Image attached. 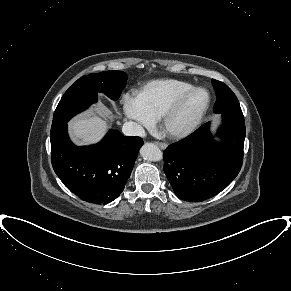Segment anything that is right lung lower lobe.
Instances as JSON below:
<instances>
[{
	"instance_id": "obj_1",
	"label": "right lung lower lobe",
	"mask_w": 291,
	"mask_h": 291,
	"mask_svg": "<svg viewBox=\"0 0 291 291\" xmlns=\"http://www.w3.org/2000/svg\"><path fill=\"white\" fill-rule=\"evenodd\" d=\"M142 144L140 137L110 130L99 143L77 147L68 137L66 124L51 133L52 166L79 198L106 204L124 190Z\"/></svg>"
}]
</instances>
